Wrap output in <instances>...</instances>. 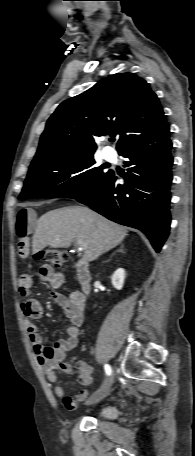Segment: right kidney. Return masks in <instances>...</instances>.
<instances>
[{
    "mask_svg": "<svg viewBox=\"0 0 195 456\" xmlns=\"http://www.w3.org/2000/svg\"><path fill=\"white\" fill-rule=\"evenodd\" d=\"M124 279L125 270L122 268L117 269L111 277L112 285L114 286V288H116L117 290H121L124 284Z\"/></svg>",
    "mask_w": 195,
    "mask_h": 456,
    "instance_id": "1",
    "label": "right kidney"
}]
</instances>
